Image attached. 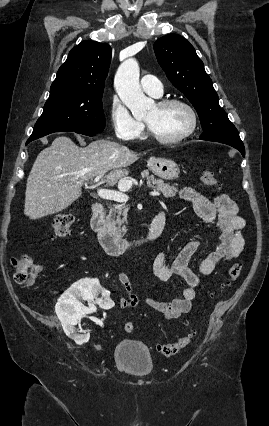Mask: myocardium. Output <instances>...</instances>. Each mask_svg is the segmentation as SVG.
Segmentation results:
<instances>
[{"mask_svg":"<svg viewBox=\"0 0 269 426\" xmlns=\"http://www.w3.org/2000/svg\"><path fill=\"white\" fill-rule=\"evenodd\" d=\"M157 105L161 108L168 107V106H171V105L183 106L190 114L191 124L185 132H183L179 136H176V137H173V138H164V137L157 135L154 131H152L150 126L147 124V133H148V136L150 137V139H152V140H154L158 143H161V144H177V143L184 141L188 137H190L196 131V129L198 127V115H197L195 109L193 108V106L190 103H188L187 101H185L183 99H179V98H167V99H163V100L159 101L157 103Z\"/></svg>","mask_w":269,"mask_h":426,"instance_id":"myocardium-1","label":"myocardium"}]
</instances>
